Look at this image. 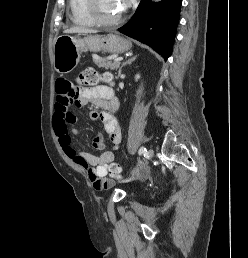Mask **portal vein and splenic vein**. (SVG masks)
<instances>
[{
	"mask_svg": "<svg viewBox=\"0 0 248 258\" xmlns=\"http://www.w3.org/2000/svg\"><path fill=\"white\" fill-rule=\"evenodd\" d=\"M114 61H122L123 60V57H115L114 59H113Z\"/></svg>",
	"mask_w": 248,
	"mask_h": 258,
	"instance_id": "portal-vein-and-splenic-vein-1",
	"label": "portal vein and splenic vein"
}]
</instances>
